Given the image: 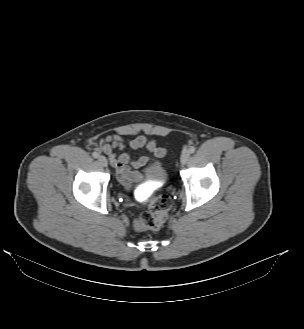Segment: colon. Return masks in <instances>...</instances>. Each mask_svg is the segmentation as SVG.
Masks as SVG:
<instances>
[{
	"label": "colon",
	"mask_w": 304,
	"mask_h": 329,
	"mask_svg": "<svg viewBox=\"0 0 304 329\" xmlns=\"http://www.w3.org/2000/svg\"><path fill=\"white\" fill-rule=\"evenodd\" d=\"M171 204V198L166 194L153 197L148 203V211L134 220V228L138 230H159L167 218Z\"/></svg>",
	"instance_id": "obj_1"
}]
</instances>
